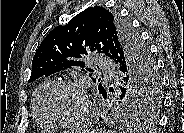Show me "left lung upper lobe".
<instances>
[{"instance_id": "left-lung-upper-lobe-1", "label": "left lung upper lobe", "mask_w": 184, "mask_h": 133, "mask_svg": "<svg viewBox=\"0 0 184 133\" xmlns=\"http://www.w3.org/2000/svg\"><path fill=\"white\" fill-rule=\"evenodd\" d=\"M92 52L104 53L121 68V86L110 91L115 93L113 111L121 116L154 117L161 101L155 61L130 24L100 6L85 9L67 25L49 32L36 50L29 82L70 67L84 71V57ZM98 89L105 90L102 84Z\"/></svg>"}]
</instances>
